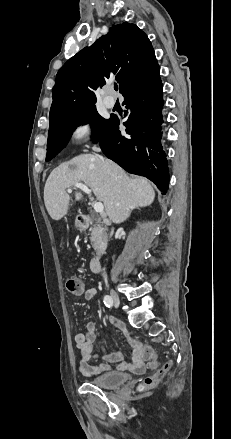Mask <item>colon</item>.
<instances>
[{
	"label": "colon",
	"mask_w": 231,
	"mask_h": 439,
	"mask_svg": "<svg viewBox=\"0 0 231 439\" xmlns=\"http://www.w3.org/2000/svg\"><path fill=\"white\" fill-rule=\"evenodd\" d=\"M66 287L70 293L80 294L84 291L85 284L79 278H69L66 282ZM131 343H132V345H135L137 343V341L131 340ZM142 354L146 360L150 361L149 365L151 368H155L157 366L154 351L150 346L145 345L143 348ZM170 366H171V364L169 362L165 363L164 365L159 367L153 374L145 377L142 380V382L140 383L138 389L144 390V389H149V388L154 387L165 376V374L170 369Z\"/></svg>",
	"instance_id": "1"
}]
</instances>
